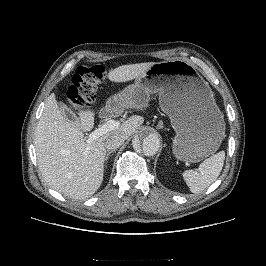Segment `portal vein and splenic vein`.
<instances>
[{"label":"portal vein and splenic vein","instance_id":"18ae733b","mask_svg":"<svg viewBox=\"0 0 266 266\" xmlns=\"http://www.w3.org/2000/svg\"><path fill=\"white\" fill-rule=\"evenodd\" d=\"M118 126H119V122L115 120H108L106 123H104L99 128L95 129L93 132L89 134L87 142L92 143L94 140H96L100 136L106 134L109 131H112L118 128Z\"/></svg>","mask_w":266,"mask_h":266}]
</instances>
